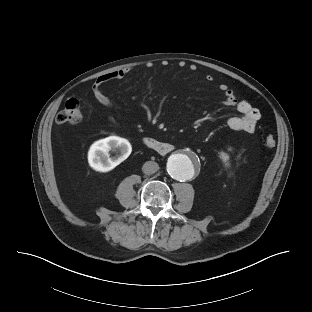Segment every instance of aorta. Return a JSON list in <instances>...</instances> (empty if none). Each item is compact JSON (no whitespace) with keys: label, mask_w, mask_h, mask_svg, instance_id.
I'll return each mask as SVG.
<instances>
[{"label":"aorta","mask_w":312,"mask_h":312,"mask_svg":"<svg viewBox=\"0 0 312 312\" xmlns=\"http://www.w3.org/2000/svg\"><path fill=\"white\" fill-rule=\"evenodd\" d=\"M198 168V159L195 155L175 154L167 162L169 175L179 181L191 179Z\"/></svg>","instance_id":"762f6f07"}]
</instances>
